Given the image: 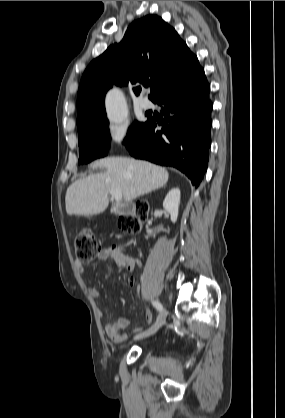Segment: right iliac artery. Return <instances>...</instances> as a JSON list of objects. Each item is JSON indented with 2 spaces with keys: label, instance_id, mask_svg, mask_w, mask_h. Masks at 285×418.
Returning a JSON list of instances; mask_svg holds the SVG:
<instances>
[{
  "label": "right iliac artery",
  "instance_id": "1",
  "mask_svg": "<svg viewBox=\"0 0 285 418\" xmlns=\"http://www.w3.org/2000/svg\"><path fill=\"white\" fill-rule=\"evenodd\" d=\"M152 304L159 311H161L163 309V307H162V305L159 301H152Z\"/></svg>",
  "mask_w": 285,
  "mask_h": 418
}]
</instances>
